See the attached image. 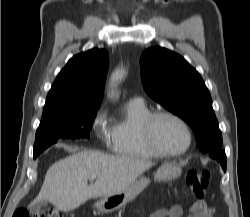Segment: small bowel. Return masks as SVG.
<instances>
[{
    "mask_svg": "<svg viewBox=\"0 0 250 217\" xmlns=\"http://www.w3.org/2000/svg\"><path fill=\"white\" fill-rule=\"evenodd\" d=\"M190 215L188 217H206L197 212L196 206L193 204L189 208ZM183 209L179 205H174L169 209L161 208L154 211L150 217H182Z\"/></svg>",
    "mask_w": 250,
    "mask_h": 217,
    "instance_id": "obj_1",
    "label": "small bowel"
}]
</instances>
